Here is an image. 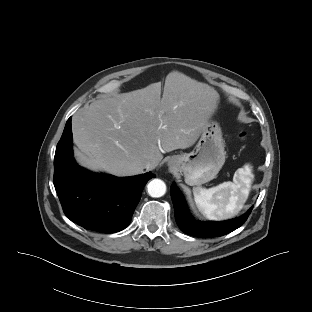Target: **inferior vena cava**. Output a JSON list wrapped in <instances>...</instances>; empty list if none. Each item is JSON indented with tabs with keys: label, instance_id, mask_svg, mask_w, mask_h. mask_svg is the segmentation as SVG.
I'll return each mask as SVG.
<instances>
[{
	"label": "inferior vena cava",
	"instance_id": "1",
	"mask_svg": "<svg viewBox=\"0 0 312 312\" xmlns=\"http://www.w3.org/2000/svg\"><path fill=\"white\" fill-rule=\"evenodd\" d=\"M157 166L155 161L148 160L144 163V168L147 170H152Z\"/></svg>",
	"mask_w": 312,
	"mask_h": 312
}]
</instances>
